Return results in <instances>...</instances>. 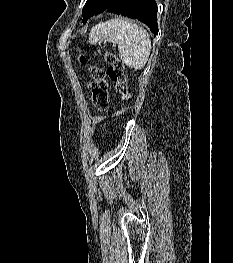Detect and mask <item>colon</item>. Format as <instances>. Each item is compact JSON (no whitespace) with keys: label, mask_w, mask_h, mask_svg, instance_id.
I'll return each instance as SVG.
<instances>
[{"label":"colon","mask_w":233,"mask_h":263,"mask_svg":"<svg viewBox=\"0 0 233 263\" xmlns=\"http://www.w3.org/2000/svg\"><path fill=\"white\" fill-rule=\"evenodd\" d=\"M104 59L108 64L106 70L90 66L89 73L91 81L89 83L91 103L95 111L102 112L108 108V84L106 78L115 84V90L122 101L130 98L127 80L124 72V65L119 58L111 53L104 52ZM81 63H85V57L80 56Z\"/></svg>","instance_id":"1"}]
</instances>
